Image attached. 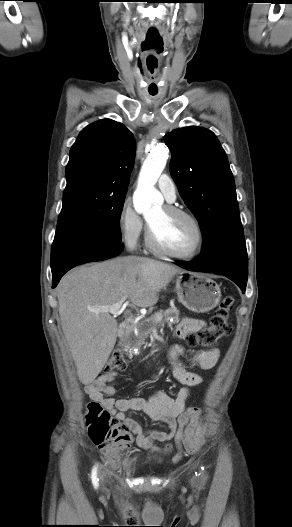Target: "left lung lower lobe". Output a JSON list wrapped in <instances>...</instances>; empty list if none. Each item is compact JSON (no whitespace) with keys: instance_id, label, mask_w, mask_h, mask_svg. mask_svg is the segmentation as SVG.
Instances as JSON below:
<instances>
[{"instance_id":"1","label":"left lung lower lobe","mask_w":292,"mask_h":527,"mask_svg":"<svg viewBox=\"0 0 292 527\" xmlns=\"http://www.w3.org/2000/svg\"><path fill=\"white\" fill-rule=\"evenodd\" d=\"M190 271L212 272L235 282L245 293L248 277V258L245 244L225 245L202 253L191 262H177Z\"/></svg>"}]
</instances>
